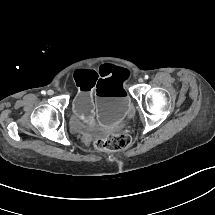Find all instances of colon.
<instances>
[{"label":"colon","instance_id":"colon-1","mask_svg":"<svg viewBox=\"0 0 215 215\" xmlns=\"http://www.w3.org/2000/svg\"><path fill=\"white\" fill-rule=\"evenodd\" d=\"M129 145V137L125 134H114L107 137H99L94 140V146L98 150L115 151L126 148Z\"/></svg>","mask_w":215,"mask_h":215}]
</instances>
